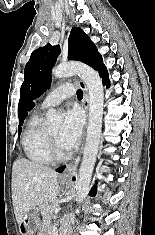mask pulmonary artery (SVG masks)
I'll list each match as a JSON object with an SVG mask.
<instances>
[{
	"instance_id": "pulmonary-artery-1",
	"label": "pulmonary artery",
	"mask_w": 155,
	"mask_h": 235,
	"mask_svg": "<svg viewBox=\"0 0 155 235\" xmlns=\"http://www.w3.org/2000/svg\"><path fill=\"white\" fill-rule=\"evenodd\" d=\"M75 89L72 84H63L52 90L41 103L43 109H47L60 104L63 100L74 95Z\"/></svg>"
}]
</instances>
